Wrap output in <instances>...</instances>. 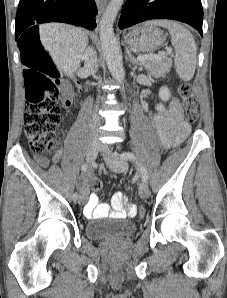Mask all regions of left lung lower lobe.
<instances>
[{"label": "left lung lower lobe", "mask_w": 227, "mask_h": 298, "mask_svg": "<svg viewBox=\"0 0 227 298\" xmlns=\"http://www.w3.org/2000/svg\"><path fill=\"white\" fill-rule=\"evenodd\" d=\"M151 19L185 22L203 34L201 0H128L122 8L119 27L123 29Z\"/></svg>", "instance_id": "left-lung-lower-lobe-1"}]
</instances>
